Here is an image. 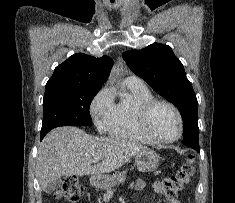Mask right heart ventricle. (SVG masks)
Segmentation results:
<instances>
[{
	"label": "right heart ventricle",
	"mask_w": 235,
	"mask_h": 203,
	"mask_svg": "<svg viewBox=\"0 0 235 203\" xmlns=\"http://www.w3.org/2000/svg\"><path fill=\"white\" fill-rule=\"evenodd\" d=\"M128 96L114 104L108 125V132L114 138L127 139L141 143H152L140 130L137 122V109L140 104L154 96L145 85L123 83Z\"/></svg>",
	"instance_id": "obj_1"
}]
</instances>
